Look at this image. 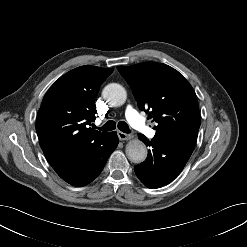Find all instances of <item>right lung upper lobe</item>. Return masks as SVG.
<instances>
[{
  "label": "right lung upper lobe",
  "mask_w": 247,
  "mask_h": 247,
  "mask_svg": "<svg viewBox=\"0 0 247 247\" xmlns=\"http://www.w3.org/2000/svg\"><path fill=\"white\" fill-rule=\"evenodd\" d=\"M112 71L81 66L60 77L46 93L38 111L36 131L50 165L109 134L88 125L95 120V99L100 86Z\"/></svg>",
  "instance_id": "1"
}]
</instances>
